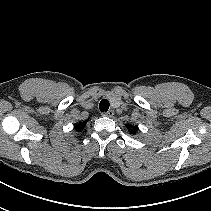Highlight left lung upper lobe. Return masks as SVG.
Segmentation results:
<instances>
[{"instance_id":"1","label":"left lung upper lobe","mask_w":211,"mask_h":211,"mask_svg":"<svg viewBox=\"0 0 211 211\" xmlns=\"http://www.w3.org/2000/svg\"><path fill=\"white\" fill-rule=\"evenodd\" d=\"M126 127L128 128V130L130 131L131 134L136 133L138 131V127L137 126L126 125Z\"/></svg>"}]
</instances>
